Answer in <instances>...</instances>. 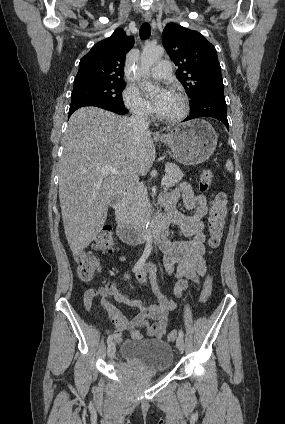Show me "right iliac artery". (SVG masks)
I'll return each mask as SVG.
<instances>
[{
	"label": "right iliac artery",
	"mask_w": 285,
	"mask_h": 424,
	"mask_svg": "<svg viewBox=\"0 0 285 424\" xmlns=\"http://www.w3.org/2000/svg\"><path fill=\"white\" fill-rule=\"evenodd\" d=\"M151 253V249L150 248H145L141 258L138 260V262L135 264L134 268H133V272H136L137 270H139L145 263V261L148 259L149 255ZM113 341V335H109L107 338V344H110Z\"/></svg>",
	"instance_id": "1"
}]
</instances>
